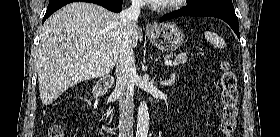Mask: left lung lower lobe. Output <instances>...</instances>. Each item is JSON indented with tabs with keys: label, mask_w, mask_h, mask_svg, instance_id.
<instances>
[{
	"label": "left lung lower lobe",
	"mask_w": 280,
	"mask_h": 137,
	"mask_svg": "<svg viewBox=\"0 0 280 137\" xmlns=\"http://www.w3.org/2000/svg\"><path fill=\"white\" fill-rule=\"evenodd\" d=\"M182 16H198V17H216L225 21L240 39L238 18L235 14L234 7L224 5H204L182 8L171 14L164 15L160 18V22L182 17Z\"/></svg>",
	"instance_id": "left-lung-lower-lobe-1"
}]
</instances>
